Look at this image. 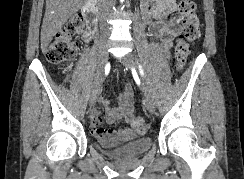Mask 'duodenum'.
<instances>
[{"label":"duodenum","mask_w":244,"mask_h":179,"mask_svg":"<svg viewBox=\"0 0 244 179\" xmlns=\"http://www.w3.org/2000/svg\"><path fill=\"white\" fill-rule=\"evenodd\" d=\"M97 1L96 0H86L84 2L81 14L84 19L87 21L90 28V35L93 36L95 31V16L97 14Z\"/></svg>","instance_id":"duodenum-1"}]
</instances>
